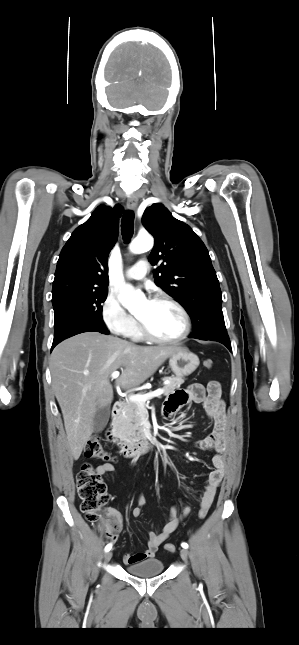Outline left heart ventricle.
I'll return each instance as SVG.
<instances>
[{
	"label": "left heart ventricle",
	"mask_w": 299,
	"mask_h": 645,
	"mask_svg": "<svg viewBox=\"0 0 299 645\" xmlns=\"http://www.w3.org/2000/svg\"><path fill=\"white\" fill-rule=\"evenodd\" d=\"M140 318L156 336L171 338L179 335L183 329V319L172 305L165 302L145 301L138 309Z\"/></svg>",
	"instance_id": "1"
}]
</instances>
